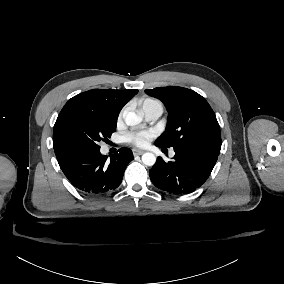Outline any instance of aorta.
Instances as JSON below:
<instances>
[{
  "instance_id": "1",
  "label": "aorta",
  "mask_w": 284,
  "mask_h": 284,
  "mask_svg": "<svg viewBox=\"0 0 284 284\" xmlns=\"http://www.w3.org/2000/svg\"><path fill=\"white\" fill-rule=\"evenodd\" d=\"M124 120L128 126H135L142 122L143 117L133 111L124 113ZM142 162L147 166H153L156 162V157L153 153L146 152L142 155Z\"/></svg>"
}]
</instances>
